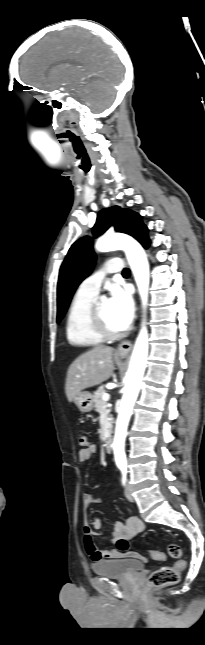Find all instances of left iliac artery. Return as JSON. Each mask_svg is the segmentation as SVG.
Returning <instances> with one entry per match:
<instances>
[{"instance_id":"1","label":"left iliac artery","mask_w":205,"mask_h":645,"mask_svg":"<svg viewBox=\"0 0 205 645\" xmlns=\"http://www.w3.org/2000/svg\"><path fill=\"white\" fill-rule=\"evenodd\" d=\"M120 469L122 472V484L125 485L126 483V474H127V466L126 465H120Z\"/></svg>"}]
</instances>
